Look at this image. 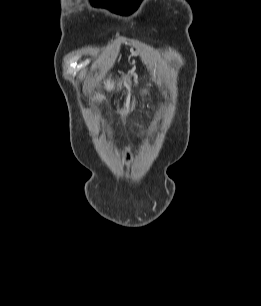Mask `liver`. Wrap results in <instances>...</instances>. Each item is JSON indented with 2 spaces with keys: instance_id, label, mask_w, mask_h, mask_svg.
I'll return each instance as SVG.
<instances>
[{
  "instance_id": "1",
  "label": "liver",
  "mask_w": 261,
  "mask_h": 306,
  "mask_svg": "<svg viewBox=\"0 0 261 306\" xmlns=\"http://www.w3.org/2000/svg\"><path fill=\"white\" fill-rule=\"evenodd\" d=\"M105 88L106 90L110 91L114 88V82H111L110 80H107L105 82ZM103 99H105V97L101 94H96V96L94 97V100H98V101H102Z\"/></svg>"
}]
</instances>
